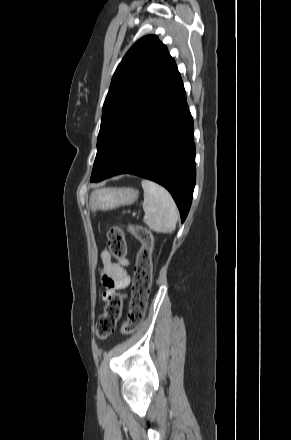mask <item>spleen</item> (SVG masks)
<instances>
[{
    "label": "spleen",
    "instance_id": "3e777b00",
    "mask_svg": "<svg viewBox=\"0 0 291 440\" xmlns=\"http://www.w3.org/2000/svg\"><path fill=\"white\" fill-rule=\"evenodd\" d=\"M143 210L148 227L157 233H171L178 220V209L170 193L161 185L143 179Z\"/></svg>",
    "mask_w": 291,
    "mask_h": 440
}]
</instances>
